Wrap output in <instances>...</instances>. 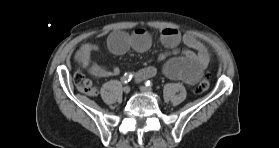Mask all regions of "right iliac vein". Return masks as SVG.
I'll use <instances>...</instances> for the list:
<instances>
[{"instance_id": "63e3f726", "label": "right iliac vein", "mask_w": 279, "mask_h": 148, "mask_svg": "<svg viewBox=\"0 0 279 148\" xmlns=\"http://www.w3.org/2000/svg\"><path fill=\"white\" fill-rule=\"evenodd\" d=\"M123 92H124L125 94H128V93L130 92V87H129V86H125V87L123 88Z\"/></svg>"}]
</instances>
